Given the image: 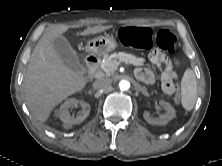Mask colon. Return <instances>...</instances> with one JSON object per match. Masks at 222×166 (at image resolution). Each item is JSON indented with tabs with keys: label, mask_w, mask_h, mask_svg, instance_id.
Wrapping results in <instances>:
<instances>
[{
	"label": "colon",
	"mask_w": 222,
	"mask_h": 166,
	"mask_svg": "<svg viewBox=\"0 0 222 166\" xmlns=\"http://www.w3.org/2000/svg\"><path fill=\"white\" fill-rule=\"evenodd\" d=\"M116 38L123 45L140 49H149L156 44L157 47L169 53L174 52L177 44L176 36L166 28L153 32L147 27H125L118 31ZM162 86L173 89L174 100L180 104V94L171 75H165L162 78Z\"/></svg>",
	"instance_id": "colon-1"
}]
</instances>
